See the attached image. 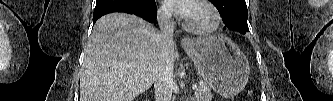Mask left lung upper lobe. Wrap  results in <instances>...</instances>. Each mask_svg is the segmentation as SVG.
<instances>
[{"label": "left lung upper lobe", "instance_id": "left-lung-upper-lobe-1", "mask_svg": "<svg viewBox=\"0 0 333 101\" xmlns=\"http://www.w3.org/2000/svg\"><path fill=\"white\" fill-rule=\"evenodd\" d=\"M218 9L226 27L241 33L242 29H248L247 6L242 0H210ZM225 29V27H224Z\"/></svg>", "mask_w": 333, "mask_h": 101}]
</instances>
